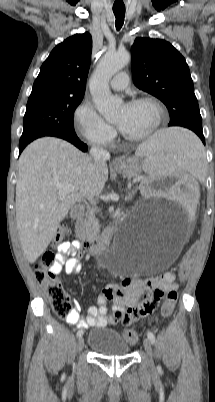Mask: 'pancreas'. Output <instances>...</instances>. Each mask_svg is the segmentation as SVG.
I'll use <instances>...</instances> for the list:
<instances>
[{
  "label": "pancreas",
  "mask_w": 215,
  "mask_h": 402,
  "mask_svg": "<svg viewBox=\"0 0 215 402\" xmlns=\"http://www.w3.org/2000/svg\"><path fill=\"white\" fill-rule=\"evenodd\" d=\"M96 210L90 209L84 218L76 224V234L81 240H92L99 234V223L95 216Z\"/></svg>",
  "instance_id": "obj_1"
}]
</instances>
